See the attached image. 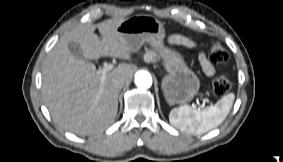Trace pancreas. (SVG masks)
Returning <instances> with one entry per match:
<instances>
[{"label": "pancreas", "instance_id": "1", "mask_svg": "<svg viewBox=\"0 0 283 162\" xmlns=\"http://www.w3.org/2000/svg\"><path fill=\"white\" fill-rule=\"evenodd\" d=\"M154 56H155V54H153L152 52H148L147 60H148L149 58H153V60H155V59H154Z\"/></svg>", "mask_w": 283, "mask_h": 162}]
</instances>
